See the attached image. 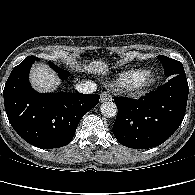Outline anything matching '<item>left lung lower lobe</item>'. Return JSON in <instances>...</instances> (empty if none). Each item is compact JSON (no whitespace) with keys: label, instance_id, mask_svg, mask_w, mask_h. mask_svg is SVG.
I'll return each instance as SVG.
<instances>
[{"label":"left lung lower lobe","instance_id":"left-lung-lower-lobe-1","mask_svg":"<svg viewBox=\"0 0 195 195\" xmlns=\"http://www.w3.org/2000/svg\"><path fill=\"white\" fill-rule=\"evenodd\" d=\"M188 91L186 75H175L139 100L114 99L118 108L114 136L129 148L148 149L162 144L183 121Z\"/></svg>","mask_w":195,"mask_h":195}]
</instances>
